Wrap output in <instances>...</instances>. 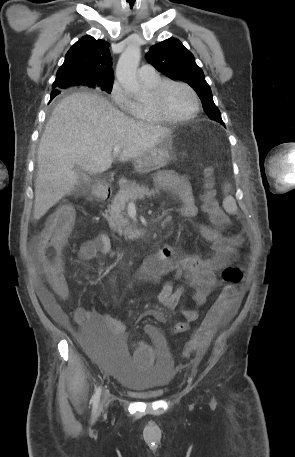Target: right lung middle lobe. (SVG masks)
Segmentation results:
<instances>
[{"instance_id": "obj_1", "label": "right lung middle lobe", "mask_w": 295, "mask_h": 457, "mask_svg": "<svg viewBox=\"0 0 295 457\" xmlns=\"http://www.w3.org/2000/svg\"><path fill=\"white\" fill-rule=\"evenodd\" d=\"M112 85L113 83H108L106 85H103V86H95V87H100L102 90L110 93L111 90H112ZM69 86H77L76 84H70V85H67L66 87H69ZM94 86L92 88H95Z\"/></svg>"}]
</instances>
